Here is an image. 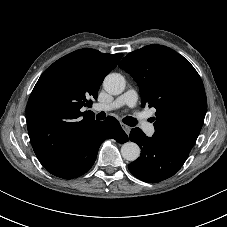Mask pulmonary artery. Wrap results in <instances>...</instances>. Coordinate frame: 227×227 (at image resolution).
<instances>
[{"label":"pulmonary artery","mask_w":227,"mask_h":227,"mask_svg":"<svg viewBox=\"0 0 227 227\" xmlns=\"http://www.w3.org/2000/svg\"><path fill=\"white\" fill-rule=\"evenodd\" d=\"M137 101H138L137 92L134 89H129L124 94L116 98L112 103L97 104L95 106V109L98 111H110V110L120 108L122 106L134 107L136 106ZM141 117L143 119L142 128L144 132L149 136L153 135L155 131L154 126L151 123L147 122L142 115Z\"/></svg>","instance_id":"e3ab8cb5"}]
</instances>
